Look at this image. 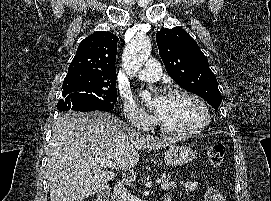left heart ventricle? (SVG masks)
I'll return each instance as SVG.
<instances>
[{"mask_svg": "<svg viewBox=\"0 0 271 201\" xmlns=\"http://www.w3.org/2000/svg\"><path fill=\"white\" fill-rule=\"evenodd\" d=\"M157 116L167 126L177 131L196 128L203 123L205 118L199 104L184 96L164 98Z\"/></svg>", "mask_w": 271, "mask_h": 201, "instance_id": "1", "label": "left heart ventricle"}]
</instances>
